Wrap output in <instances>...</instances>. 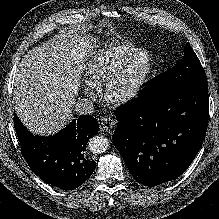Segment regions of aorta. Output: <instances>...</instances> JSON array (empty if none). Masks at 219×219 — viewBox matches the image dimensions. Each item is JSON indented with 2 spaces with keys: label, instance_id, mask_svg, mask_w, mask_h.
Listing matches in <instances>:
<instances>
[{
  "label": "aorta",
  "instance_id": "obj_1",
  "mask_svg": "<svg viewBox=\"0 0 219 219\" xmlns=\"http://www.w3.org/2000/svg\"><path fill=\"white\" fill-rule=\"evenodd\" d=\"M109 146L108 139L103 136H94L88 142L89 150L94 154H101Z\"/></svg>",
  "mask_w": 219,
  "mask_h": 219
}]
</instances>
